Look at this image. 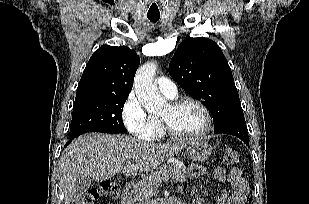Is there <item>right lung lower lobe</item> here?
Masks as SVG:
<instances>
[{
    "instance_id": "1",
    "label": "right lung lower lobe",
    "mask_w": 309,
    "mask_h": 204,
    "mask_svg": "<svg viewBox=\"0 0 309 204\" xmlns=\"http://www.w3.org/2000/svg\"><path fill=\"white\" fill-rule=\"evenodd\" d=\"M74 138H75V137L70 138V140L67 142V144H69V143L71 142V140H73ZM67 144H66V145H67ZM66 145H65V146H66Z\"/></svg>"
}]
</instances>
